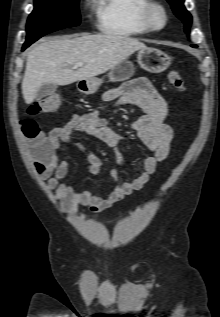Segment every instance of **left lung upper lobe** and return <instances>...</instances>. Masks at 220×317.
Segmentation results:
<instances>
[{
  "instance_id": "obj_1",
  "label": "left lung upper lobe",
  "mask_w": 220,
  "mask_h": 317,
  "mask_svg": "<svg viewBox=\"0 0 220 317\" xmlns=\"http://www.w3.org/2000/svg\"><path fill=\"white\" fill-rule=\"evenodd\" d=\"M167 1L171 4L172 9L174 13L177 15V17L180 18L184 22L185 32L189 33L192 17L190 13L184 7V4H183L184 0H167Z\"/></svg>"
}]
</instances>
